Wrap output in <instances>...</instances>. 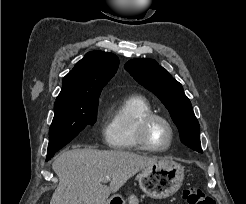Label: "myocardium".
Segmentation results:
<instances>
[{
	"label": "myocardium",
	"instance_id": "myocardium-1",
	"mask_svg": "<svg viewBox=\"0 0 246 204\" xmlns=\"http://www.w3.org/2000/svg\"><path fill=\"white\" fill-rule=\"evenodd\" d=\"M155 121L163 122L169 130V133H170L169 141L164 147H155L149 141V138H148L149 129ZM174 138H175V130H174L172 123L165 116L161 114H157L154 112L150 113L146 115L145 117H143L139 123L138 129H137V141L140 147L146 151L164 152L171 147L174 141Z\"/></svg>",
	"mask_w": 246,
	"mask_h": 204
}]
</instances>
